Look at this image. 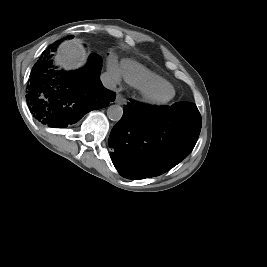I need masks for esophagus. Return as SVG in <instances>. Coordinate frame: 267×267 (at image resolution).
<instances>
[{"mask_svg": "<svg viewBox=\"0 0 267 267\" xmlns=\"http://www.w3.org/2000/svg\"><path fill=\"white\" fill-rule=\"evenodd\" d=\"M115 102H116L117 104H120V105H125V104L127 103V100L123 97V95L118 94V95L116 96V100H115Z\"/></svg>", "mask_w": 267, "mask_h": 267, "instance_id": "1", "label": "esophagus"}]
</instances>
